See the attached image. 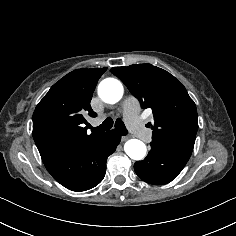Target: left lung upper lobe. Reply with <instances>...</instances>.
I'll use <instances>...</instances> for the list:
<instances>
[{
  "label": "left lung upper lobe",
  "instance_id": "1",
  "mask_svg": "<svg viewBox=\"0 0 236 236\" xmlns=\"http://www.w3.org/2000/svg\"><path fill=\"white\" fill-rule=\"evenodd\" d=\"M119 77L137 97L142 108H151L154 115L152 141L167 143L191 153L198 130L195 103L185 87L169 72L151 64L114 67Z\"/></svg>",
  "mask_w": 236,
  "mask_h": 236
}]
</instances>
